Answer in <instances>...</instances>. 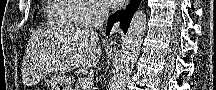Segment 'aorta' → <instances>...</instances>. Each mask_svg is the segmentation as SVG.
<instances>
[{
	"instance_id": "obj_1",
	"label": "aorta",
	"mask_w": 216,
	"mask_h": 90,
	"mask_svg": "<svg viewBox=\"0 0 216 90\" xmlns=\"http://www.w3.org/2000/svg\"><path fill=\"white\" fill-rule=\"evenodd\" d=\"M147 14L145 10L135 12L127 30L122 56L119 58L113 74L110 90H125L136 60H138L141 44L146 30Z\"/></svg>"
}]
</instances>
